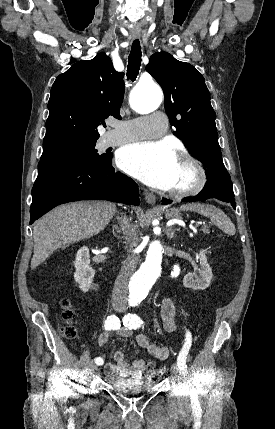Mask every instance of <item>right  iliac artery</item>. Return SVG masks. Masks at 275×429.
I'll use <instances>...</instances> for the list:
<instances>
[{
	"label": "right iliac artery",
	"mask_w": 275,
	"mask_h": 429,
	"mask_svg": "<svg viewBox=\"0 0 275 429\" xmlns=\"http://www.w3.org/2000/svg\"><path fill=\"white\" fill-rule=\"evenodd\" d=\"M121 327L120 325V321L119 318L116 315H110L107 317L105 324H104V328L106 330H117ZM95 363L97 365H102L103 364V359L101 357H96L94 359Z\"/></svg>",
	"instance_id": "right-iliac-artery-1"
}]
</instances>
